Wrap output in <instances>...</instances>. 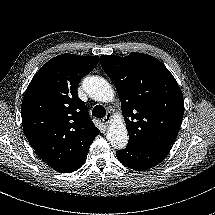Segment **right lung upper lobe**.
Listing matches in <instances>:
<instances>
[{"label":"right lung upper lobe","mask_w":215,"mask_h":215,"mask_svg":"<svg viewBox=\"0 0 215 215\" xmlns=\"http://www.w3.org/2000/svg\"><path fill=\"white\" fill-rule=\"evenodd\" d=\"M98 61V56L68 53L54 57L39 69L24 94V133L40 158L59 172L78 169L99 133L77 95L80 80Z\"/></svg>","instance_id":"cb5924a9"}]
</instances>
